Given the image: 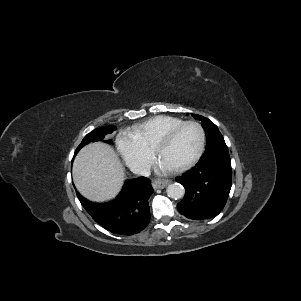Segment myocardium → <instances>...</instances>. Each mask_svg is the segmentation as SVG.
<instances>
[{"instance_id": "obj_1", "label": "myocardium", "mask_w": 301, "mask_h": 301, "mask_svg": "<svg viewBox=\"0 0 301 301\" xmlns=\"http://www.w3.org/2000/svg\"><path fill=\"white\" fill-rule=\"evenodd\" d=\"M187 125H194L198 129L199 145H198L196 153L190 160H188L187 162H185L184 164H182L180 166L174 167V170H176V171L186 170V169L190 168L191 166H193L200 159V157L203 153V150H204L205 139H206L203 126L199 122L194 121V120L183 121L182 123L176 125L175 127L171 128L170 130L166 131L161 136H159L153 145V152L157 157H159L158 148L161 145H164V144L170 142L177 135V133L183 127H185Z\"/></svg>"}]
</instances>
